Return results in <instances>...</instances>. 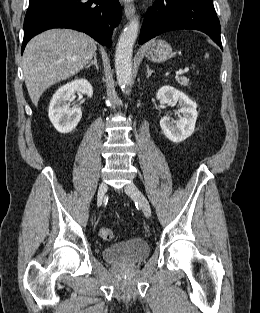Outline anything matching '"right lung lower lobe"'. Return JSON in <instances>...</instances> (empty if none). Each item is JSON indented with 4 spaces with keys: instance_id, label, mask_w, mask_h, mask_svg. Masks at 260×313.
Listing matches in <instances>:
<instances>
[{
    "instance_id": "right-lung-lower-lobe-1",
    "label": "right lung lower lobe",
    "mask_w": 260,
    "mask_h": 313,
    "mask_svg": "<svg viewBox=\"0 0 260 313\" xmlns=\"http://www.w3.org/2000/svg\"><path fill=\"white\" fill-rule=\"evenodd\" d=\"M120 18L118 0H30L21 52L32 37L51 28L85 32L110 47L113 28Z\"/></svg>"
}]
</instances>
